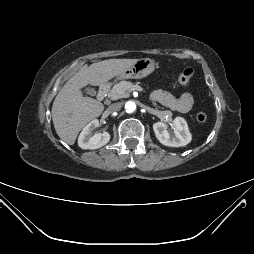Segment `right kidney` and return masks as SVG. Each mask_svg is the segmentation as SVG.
<instances>
[{"instance_id":"obj_1","label":"right kidney","mask_w":254,"mask_h":254,"mask_svg":"<svg viewBox=\"0 0 254 254\" xmlns=\"http://www.w3.org/2000/svg\"><path fill=\"white\" fill-rule=\"evenodd\" d=\"M99 126L97 119L88 123L81 131L78 138V145L82 149H98L110 140V134L108 132L96 133L93 135V131Z\"/></svg>"}]
</instances>
